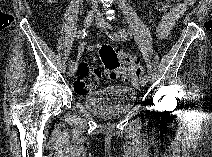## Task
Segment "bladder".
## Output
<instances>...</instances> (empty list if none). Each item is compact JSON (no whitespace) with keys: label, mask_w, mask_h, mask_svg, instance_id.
<instances>
[{"label":"bladder","mask_w":212,"mask_h":157,"mask_svg":"<svg viewBox=\"0 0 212 157\" xmlns=\"http://www.w3.org/2000/svg\"><path fill=\"white\" fill-rule=\"evenodd\" d=\"M137 98L133 88L124 86H105L82 95V104L95 115L113 119L131 109Z\"/></svg>","instance_id":"bladder-1"}]
</instances>
